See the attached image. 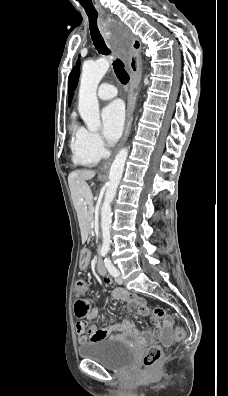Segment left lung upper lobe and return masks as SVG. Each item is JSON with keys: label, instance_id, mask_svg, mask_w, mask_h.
Here are the masks:
<instances>
[{"label": "left lung upper lobe", "instance_id": "obj_1", "mask_svg": "<svg viewBox=\"0 0 228 396\" xmlns=\"http://www.w3.org/2000/svg\"><path fill=\"white\" fill-rule=\"evenodd\" d=\"M79 76H80V61H77L76 65L73 67V69L69 75V79H68V94H70L69 99H68L69 103L71 102V100L73 98V92L77 86Z\"/></svg>", "mask_w": 228, "mask_h": 396}]
</instances>
